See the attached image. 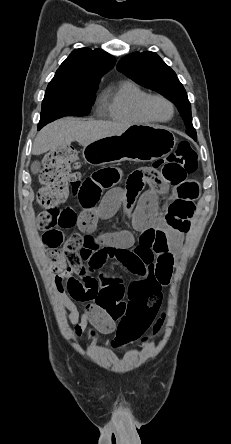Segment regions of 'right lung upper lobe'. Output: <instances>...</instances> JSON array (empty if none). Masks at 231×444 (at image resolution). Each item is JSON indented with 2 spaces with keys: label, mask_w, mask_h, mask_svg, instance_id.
Listing matches in <instances>:
<instances>
[{
  "label": "right lung upper lobe",
  "mask_w": 231,
  "mask_h": 444,
  "mask_svg": "<svg viewBox=\"0 0 231 444\" xmlns=\"http://www.w3.org/2000/svg\"><path fill=\"white\" fill-rule=\"evenodd\" d=\"M115 61L101 49H75L60 65L47 89H97L101 77L113 68Z\"/></svg>",
  "instance_id": "cb5924a9"
}]
</instances>
